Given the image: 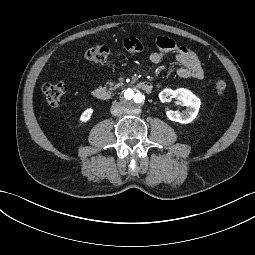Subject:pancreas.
Returning <instances> with one entry per match:
<instances>
[{"mask_svg":"<svg viewBox=\"0 0 255 255\" xmlns=\"http://www.w3.org/2000/svg\"><path fill=\"white\" fill-rule=\"evenodd\" d=\"M122 86H123V83L111 82V83H109V90L112 91L113 89H116V88L122 87Z\"/></svg>","mask_w":255,"mask_h":255,"instance_id":"pancreas-1","label":"pancreas"}]
</instances>
